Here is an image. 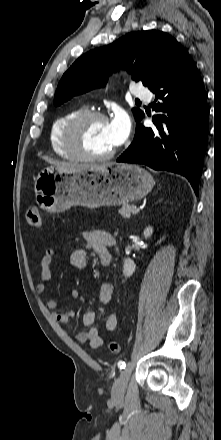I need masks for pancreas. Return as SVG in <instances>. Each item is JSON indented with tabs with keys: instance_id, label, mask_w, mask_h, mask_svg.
Segmentation results:
<instances>
[{
	"instance_id": "1",
	"label": "pancreas",
	"mask_w": 221,
	"mask_h": 440,
	"mask_svg": "<svg viewBox=\"0 0 221 440\" xmlns=\"http://www.w3.org/2000/svg\"><path fill=\"white\" fill-rule=\"evenodd\" d=\"M135 206L134 205H123L121 209H119V213L124 217V218H129L134 210Z\"/></svg>"
}]
</instances>
